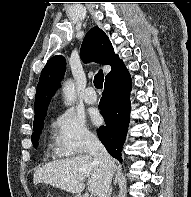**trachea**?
I'll use <instances>...</instances> for the list:
<instances>
[{
  "instance_id": "1",
  "label": "trachea",
  "mask_w": 191,
  "mask_h": 197,
  "mask_svg": "<svg viewBox=\"0 0 191 197\" xmlns=\"http://www.w3.org/2000/svg\"><path fill=\"white\" fill-rule=\"evenodd\" d=\"M104 75L103 71L100 70L94 77V85L97 89H101L103 87Z\"/></svg>"
}]
</instances>
